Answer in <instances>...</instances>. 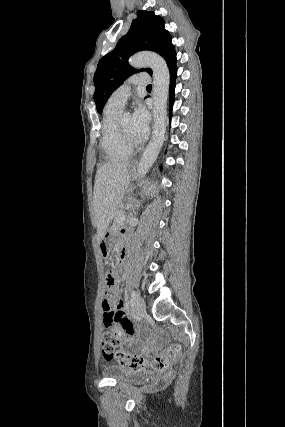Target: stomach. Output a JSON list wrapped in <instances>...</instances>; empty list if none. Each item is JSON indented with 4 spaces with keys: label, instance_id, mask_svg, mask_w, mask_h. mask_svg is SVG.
Segmentation results:
<instances>
[{
    "label": "stomach",
    "instance_id": "obj_1",
    "mask_svg": "<svg viewBox=\"0 0 285 427\" xmlns=\"http://www.w3.org/2000/svg\"><path fill=\"white\" fill-rule=\"evenodd\" d=\"M130 169H131V171H133L134 168L131 167ZM113 239H114L113 233L107 231L102 236V238L99 242V248L101 251V255L105 258H107L110 255V252L112 250V245H113Z\"/></svg>",
    "mask_w": 285,
    "mask_h": 427
}]
</instances>
